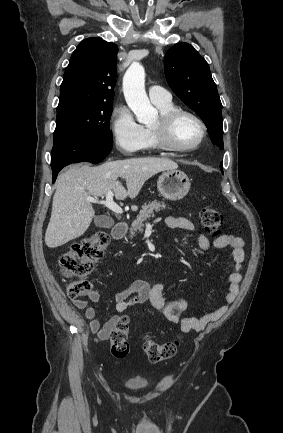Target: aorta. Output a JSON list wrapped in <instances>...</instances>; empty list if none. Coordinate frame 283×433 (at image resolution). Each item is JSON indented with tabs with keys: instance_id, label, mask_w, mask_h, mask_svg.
Listing matches in <instances>:
<instances>
[{
	"instance_id": "obj_1",
	"label": "aorta",
	"mask_w": 283,
	"mask_h": 433,
	"mask_svg": "<svg viewBox=\"0 0 283 433\" xmlns=\"http://www.w3.org/2000/svg\"><path fill=\"white\" fill-rule=\"evenodd\" d=\"M123 92L139 123L148 124L157 118L158 112L145 91V70L141 64L132 63L127 69L123 78Z\"/></svg>"
}]
</instances>
